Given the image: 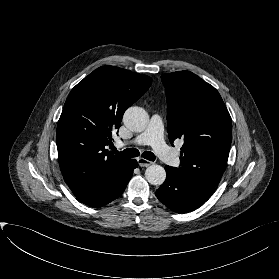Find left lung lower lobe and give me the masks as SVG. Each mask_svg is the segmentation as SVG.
Returning <instances> with one entry per match:
<instances>
[{"instance_id": "0a47b994", "label": "left lung lower lobe", "mask_w": 279, "mask_h": 279, "mask_svg": "<svg viewBox=\"0 0 279 279\" xmlns=\"http://www.w3.org/2000/svg\"><path fill=\"white\" fill-rule=\"evenodd\" d=\"M166 180L156 191L157 198L169 209L178 213L195 210L214 193L198 181L183 177L176 168L165 167Z\"/></svg>"}]
</instances>
